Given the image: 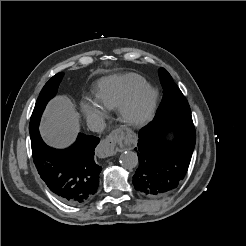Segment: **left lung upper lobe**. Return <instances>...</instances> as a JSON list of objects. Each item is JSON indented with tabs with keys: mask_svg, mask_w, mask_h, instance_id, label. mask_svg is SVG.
<instances>
[{
	"mask_svg": "<svg viewBox=\"0 0 246 246\" xmlns=\"http://www.w3.org/2000/svg\"><path fill=\"white\" fill-rule=\"evenodd\" d=\"M160 82L163 87V99L159 105L156 119L192 118L189 104L181 90L174 83L170 74L159 69Z\"/></svg>",
	"mask_w": 246,
	"mask_h": 246,
	"instance_id": "1",
	"label": "left lung upper lobe"
}]
</instances>
